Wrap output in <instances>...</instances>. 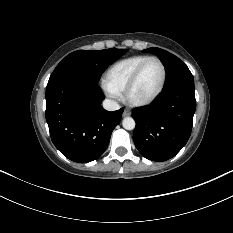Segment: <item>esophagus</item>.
<instances>
[{
  "label": "esophagus",
  "instance_id": "esophagus-1",
  "mask_svg": "<svg viewBox=\"0 0 233 233\" xmlns=\"http://www.w3.org/2000/svg\"><path fill=\"white\" fill-rule=\"evenodd\" d=\"M130 115H131V112L128 109H125L123 111V114H122L123 117H127V116H130Z\"/></svg>",
  "mask_w": 233,
  "mask_h": 233
}]
</instances>
